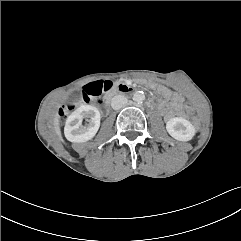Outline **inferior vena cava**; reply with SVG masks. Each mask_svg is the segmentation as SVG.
<instances>
[{
    "label": "inferior vena cava",
    "mask_w": 241,
    "mask_h": 241,
    "mask_svg": "<svg viewBox=\"0 0 241 241\" xmlns=\"http://www.w3.org/2000/svg\"><path fill=\"white\" fill-rule=\"evenodd\" d=\"M128 103V100L123 95H116L111 100V106L114 110L124 108Z\"/></svg>",
    "instance_id": "obj_1"
}]
</instances>
